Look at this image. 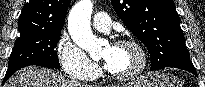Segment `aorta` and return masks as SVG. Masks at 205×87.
I'll list each match as a JSON object with an SVG mask.
<instances>
[{
    "label": "aorta",
    "mask_w": 205,
    "mask_h": 87,
    "mask_svg": "<svg viewBox=\"0 0 205 87\" xmlns=\"http://www.w3.org/2000/svg\"><path fill=\"white\" fill-rule=\"evenodd\" d=\"M93 3L80 0L71 9L68 16V30L73 41L82 49L93 54L101 49L102 41L92 32L90 26Z\"/></svg>",
    "instance_id": "762f6f07"
}]
</instances>
